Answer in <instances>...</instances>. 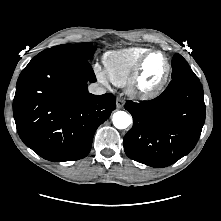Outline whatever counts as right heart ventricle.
Listing matches in <instances>:
<instances>
[{"mask_svg": "<svg viewBox=\"0 0 221 221\" xmlns=\"http://www.w3.org/2000/svg\"><path fill=\"white\" fill-rule=\"evenodd\" d=\"M149 50L134 46L105 52L102 60L107 77L117 86H126L137 63Z\"/></svg>", "mask_w": 221, "mask_h": 221, "instance_id": "e07e8e85", "label": "right heart ventricle"}]
</instances>
